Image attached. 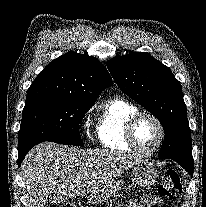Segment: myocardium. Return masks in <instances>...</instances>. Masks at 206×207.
I'll use <instances>...</instances> for the list:
<instances>
[{"mask_svg":"<svg viewBox=\"0 0 206 207\" xmlns=\"http://www.w3.org/2000/svg\"><path fill=\"white\" fill-rule=\"evenodd\" d=\"M142 118H149L153 120L159 129V140L156 146L150 150L141 149L135 141L134 130H135L136 124ZM124 135H125V142L131 148V150H133L135 153L142 155V156H150V155L155 154L162 147L165 141L166 132H165V127L163 123L156 115L150 112L137 111L126 122L125 128H124Z\"/></svg>","mask_w":206,"mask_h":207,"instance_id":"obj_1","label":"myocardium"}]
</instances>
